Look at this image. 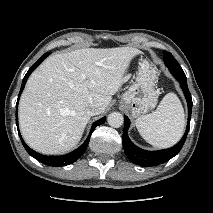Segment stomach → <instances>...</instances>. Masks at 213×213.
Masks as SVG:
<instances>
[{"label": "stomach", "instance_id": "stomach-1", "mask_svg": "<svg viewBox=\"0 0 213 213\" xmlns=\"http://www.w3.org/2000/svg\"><path fill=\"white\" fill-rule=\"evenodd\" d=\"M157 78V71L148 61L140 62L136 80L123 94L120 105L134 117L153 109L158 98L155 89Z\"/></svg>", "mask_w": 213, "mask_h": 213}]
</instances>
